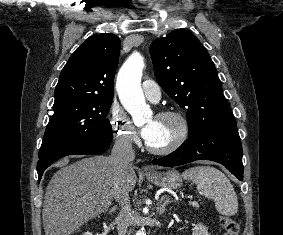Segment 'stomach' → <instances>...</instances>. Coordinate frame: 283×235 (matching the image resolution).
<instances>
[{
	"mask_svg": "<svg viewBox=\"0 0 283 235\" xmlns=\"http://www.w3.org/2000/svg\"><path fill=\"white\" fill-rule=\"evenodd\" d=\"M146 177L153 184L172 190L180 188L183 183L181 175L174 169L166 172L147 173Z\"/></svg>",
	"mask_w": 283,
	"mask_h": 235,
	"instance_id": "1",
	"label": "stomach"
}]
</instances>
